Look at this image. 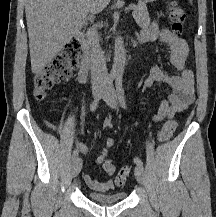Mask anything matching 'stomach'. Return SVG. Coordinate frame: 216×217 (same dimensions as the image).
Returning a JSON list of instances; mask_svg holds the SVG:
<instances>
[{
  "instance_id": "1",
  "label": "stomach",
  "mask_w": 216,
  "mask_h": 217,
  "mask_svg": "<svg viewBox=\"0 0 216 217\" xmlns=\"http://www.w3.org/2000/svg\"><path fill=\"white\" fill-rule=\"evenodd\" d=\"M156 0H143L144 3L155 2Z\"/></svg>"
}]
</instances>
